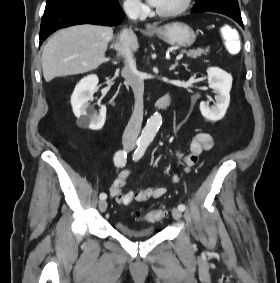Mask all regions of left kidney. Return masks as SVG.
<instances>
[{
    "label": "left kidney",
    "instance_id": "left-kidney-1",
    "mask_svg": "<svg viewBox=\"0 0 280 283\" xmlns=\"http://www.w3.org/2000/svg\"><path fill=\"white\" fill-rule=\"evenodd\" d=\"M207 74L209 87L216 93V103L209 107L205 102H201L200 111L207 120L218 121L224 117L230 103L232 76L218 67L208 68Z\"/></svg>",
    "mask_w": 280,
    "mask_h": 283
}]
</instances>
